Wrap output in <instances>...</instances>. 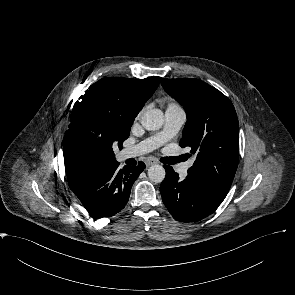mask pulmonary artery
<instances>
[{
  "instance_id": "pulmonary-artery-1",
  "label": "pulmonary artery",
  "mask_w": 295,
  "mask_h": 295,
  "mask_svg": "<svg viewBox=\"0 0 295 295\" xmlns=\"http://www.w3.org/2000/svg\"><path fill=\"white\" fill-rule=\"evenodd\" d=\"M185 118V112L180 106H169L165 111V124L163 131L151 138L140 142L135 146L126 148L122 152V158L127 159L140 156L158 148L164 142H166L168 139L178 133L185 122ZM189 167L190 164H180L177 167V171L182 176H186Z\"/></svg>"
}]
</instances>
